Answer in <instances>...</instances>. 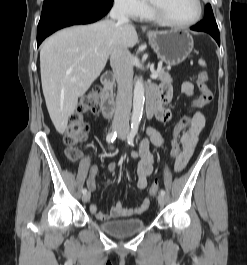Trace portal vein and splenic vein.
<instances>
[{
	"instance_id": "18ae733b",
	"label": "portal vein and splenic vein",
	"mask_w": 247,
	"mask_h": 265,
	"mask_svg": "<svg viewBox=\"0 0 247 265\" xmlns=\"http://www.w3.org/2000/svg\"><path fill=\"white\" fill-rule=\"evenodd\" d=\"M152 79H156L158 77V74L155 72L150 76Z\"/></svg>"
}]
</instances>
